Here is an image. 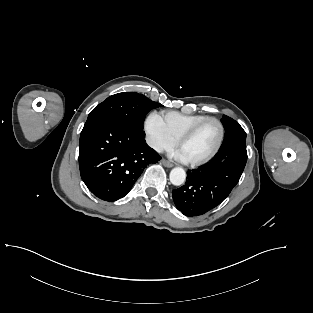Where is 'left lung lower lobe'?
Returning a JSON list of instances; mask_svg holds the SVG:
<instances>
[{
  "label": "left lung lower lobe",
  "instance_id": "1",
  "mask_svg": "<svg viewBox=\"0 0 313 313\" xmlns=\"http://www.w3.org/2000/svg\"><path fill=\"white\" fill-rule=\"evenodd\" d=\"M245 144L236 142L220 148L209 163L189 170L185 184L172 192L177 209L193 217L219 205L243 173L247 161Z\"/></svg>",
  "mask_w": 313,
  "mask_h": 313
}]
</instances>
